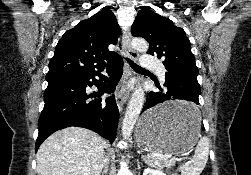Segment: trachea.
Instances as JSON below:
<instances>
[{
	"instance_id": "1",
	"label": "trachea",
	"mask_w": 251,
	"mask_h": 175,
	"mask_svg": "<svg viewBox=\"0 0 251 175\" xmlns=\"http://www.w3.org/2000/svg\"><path fill=\"white\" fill-rule=\"evenodd\" d=\"M120 48H121V46H120ZM126 60L130 64L131 68H133L134 70L148 72V70H146L145 68L139 67V65H136V63H134L132 60H130V59H126Z\"/></svg>"
}]
</instances>
